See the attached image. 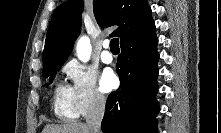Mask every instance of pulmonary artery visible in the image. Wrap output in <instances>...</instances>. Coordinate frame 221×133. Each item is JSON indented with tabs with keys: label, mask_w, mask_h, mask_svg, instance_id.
Listing matches in <instances>:
<instances>
[{
	"label": "pulmonary artery",
	"mask_w": 221,
	"mask_h": 133,
	"mask_svg": "<svg viewBox=\"0 0 221 133\" xmlns=\"http://www.w3.org/2000/svg\"><path fill=\"white\" fill-rule=\"evenodd\" d=\"M110 43L109 41L103 42V51L101 53V60L106 63L110 64L113 61V54L109 51Z\"/></svg>",
	"instance_id": "1"
}]
</instances>
